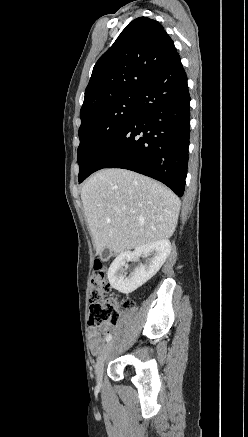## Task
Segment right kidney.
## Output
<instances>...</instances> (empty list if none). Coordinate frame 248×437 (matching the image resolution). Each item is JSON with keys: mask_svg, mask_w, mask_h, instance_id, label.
<instances>
[{"mask_svg": "<svg viewBox=\"0 0 248 437\" xmlns=\"http://www.w3.org/2000/svg\"><path fill=\"white\" fill-rule=\"evenodd\" d=\"M171 252L169 240H159L137 247L133 252L119 254L110 265L108 279L110 285L121 293L129 294L150 280L161 268ZM151 256L145 265H140L126 276L123 266L126 262L137 261L140 256Z\"/></svg>", "mask_w": 248, "mask_h": 437, "instance_id": "obj_1", "label": "right kidney"}]
</instances>
